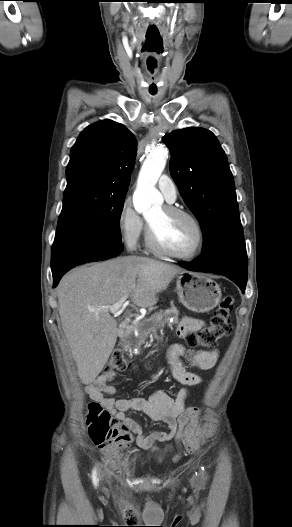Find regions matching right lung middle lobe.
<instances>
[{"label":"right lung middle lobe","mask_w":292,"mask_h":527,"mask_svg":"<svg viewBox=\"0 0 292 527\" xmlns=\"http://www.w3.org/2000/svg\"><path fill=\"white\" fill-rule=\"evenodd\" d=\"M125 196L126 192L90 185H67L57 230L91 231L121 241L119 221Z\"/></svg>","instance_id":"right-lung-middle-lobe-1"}]
</instances>
